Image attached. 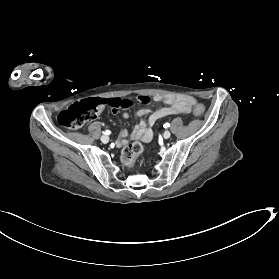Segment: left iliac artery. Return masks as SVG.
<instances>
[{
    "label": "left iliac artery",
    "mask_w": 279,
    "mask_h": 279,
    "mask_svg": "<svg viewBox=\"0 0 279 279\" xmlns=\"http://www.w3.org/2000/svg\"><path fill=\"white\" fill-rule=\"evenodd\" d=\"M164 127H165V128H168V127H170V124H169V123H165V124H164Z\"/></svg>",
    "instance_id": "44dca946"
}]
</instances>
